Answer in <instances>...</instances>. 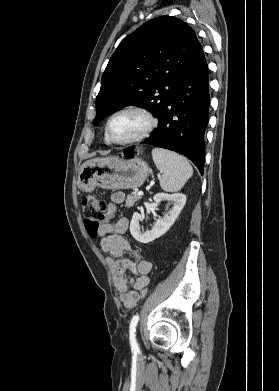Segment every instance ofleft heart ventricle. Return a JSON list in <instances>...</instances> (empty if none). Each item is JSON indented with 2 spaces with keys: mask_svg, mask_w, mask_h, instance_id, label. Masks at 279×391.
I'll return each mask as SVG.
<instances>
[{
  "mask_svg": "<svg viewBox=\"0 0 279 391\" xmlns=\"http://www.w3.org/2000/svg\"><path fill=\"white\" fill-rule=\"evenodd\" d=\"M144 117L135 112H124L113 118L110 124V136L123 141L139 133L145 127Z\"/></svg>",
  "mask_w": 279,
  "mask_h": 391,
  "instance_id": "b2bd125f",
  "label": "left heart ventricle"
}]
</instances>
